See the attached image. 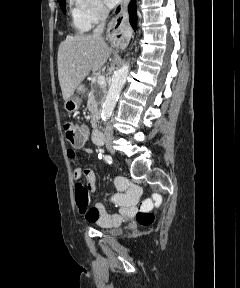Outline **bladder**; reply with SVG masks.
Returning a JSON list of instances; mask_svg holds the SVG:
<instances>
[{"label":"bladder","instance_id":"1","mask_svg":"<svg viewBox=\"0 0 240 288\" xmlns=\"http://www.w3.org/2000/svg\"><path fill=\"white\" fill-rule=\"evenodd\" d=\"M104 232L110 234V235H118L120 233L119 229L113 228V229H105Z\"/></svg>","mask_w":240,"mask_h":288}]
</instances>
